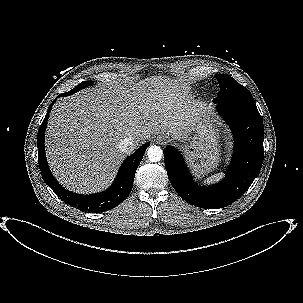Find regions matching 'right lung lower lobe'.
<instances>
[{"instance_id":"obj_1","label":"right lung lower lobe","mask_w":303,"mask_h":303,"mask_svg":"<svg viewBox=\"0 0 303 303\" xmlns=\"http://www.w3.org/2000/svg\"><path fill=\"white\" fill-rule=\"evenodd\" d=\"M63 96L68 95L65 93L60 94L57 96V98ZM55 101L56 99L50 104L47 114L39 127L37 135L38 163L43 180L49 187L52 188L56 195L62 199V201L82 211L99 213L116 207L130 194L133 187L136 169L150 143H145L137 151H135V153L128 156L124 160L118 171L115 182L106 191L91 195H81L67 191L53 177L48 167L45 155L44 133L49 118V113Z\"/></svg>"}]
</instances>
